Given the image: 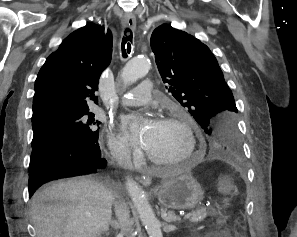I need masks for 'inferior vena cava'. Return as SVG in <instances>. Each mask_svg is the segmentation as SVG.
I'll use <instances>...</instances> for the list:
<instances>
[{
	"instance_id": "obj_1",
	"label": "inferior vena cava",
	"mask_w": 297,
	"mask_h": 237,
	"mask_svg": "<svg viewBox=\"0 0 297 237\" xmlns=\"http://www.w3.org/2000/svg\"><path fill=\"white\" fill-rule=\"evenodd\" d=\"M115 213L121 228V235L126 237H133V223L130 220V211L124 201H115Z\"/></svg>"
}]
</instances>
